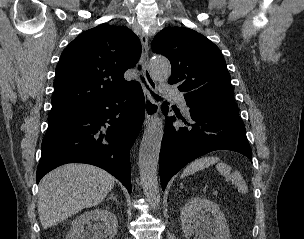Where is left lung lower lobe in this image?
<instances>
[{"label": "left lung lower lobe", "instance_id": "left-lung-lower-lobe-1", "mask_svg": "<svg viewBox=\"0 0 304 239\" xmlns=\"http://www.w3.org/2000/svg\"><path fill=\"white\" fill-rule=\"evenodd\" d=\"M164 114L168 106L162 105ZM192 121L177 115L186 126L173 125L176 117H167L159 157L162 190L169 180L192 160L215 150L239 152L252 160L245 126L240 116L189 109Z\"/></svg>", "mask_w": 304, "mask_h": 239}]
</instances>
